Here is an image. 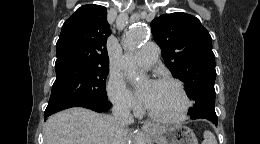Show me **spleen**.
Instances as JSON below:
<instances>
[{
    "label": "spleen",
    "instance_id": "spleen-1",
    "mask_svg": "<svg viewBox=\"0 0 260 144\" xmlns=\"http://www.w3.org/2000/svg\"><path fill=\"white\" fill-rule=\"evenodd\" d=\"M203 144H217V140L215 138V135L211 131L206 130L204 132Z\"/></svg>",
    "mask_w": 260,
    "mask_h": 144
}]
</instances>
